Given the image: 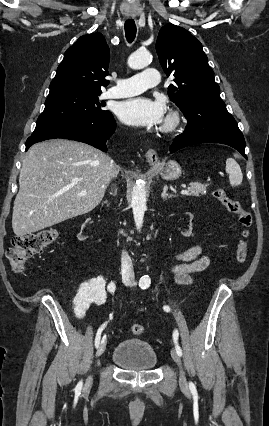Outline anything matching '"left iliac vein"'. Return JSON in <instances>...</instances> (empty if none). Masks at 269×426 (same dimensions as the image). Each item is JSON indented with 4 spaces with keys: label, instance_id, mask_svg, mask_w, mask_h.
I'll return each instance as SVG.
<instances>
[{
    "label": "left iliac vein",
    "instance_id": "4c4485c4",
    "mask_svg": "<svg viewBox=\"0 0 269 426\" xmlns=\"http://www.w3.org/2000/svg\"><path fill=\"white\" fill-rule=\"evenodd\" d=\"M171 357H172V359L175 361V363H176V364L179 366V368H180V375H179V382H180V386H181L183 389H187L188 384H187V380H186V377H185L184 371H183V369H182L181 360H180V357H179L178 353H177L174 349H171Z\"/></svg>",
    "mask_w": 269,
    "mask_h": 426
}]
</instances>
